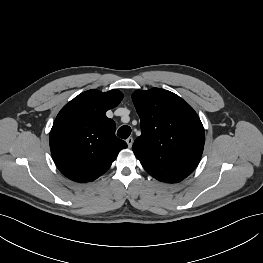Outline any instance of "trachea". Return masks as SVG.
<instances>
[{"instance_id": "1", "label": "trachea", "mask_w": 263, "mask_h": 263, "mask_svg": "<svg viewBox=\"0 0 263 263\" xmlns=\"http://www.w3.org/2000/svg\"><path fill=\"white\" fill-rule=\"evenodd\" d=\"M131 134V128L129 126H122L117 131V135L122 139H127Z\"/></svg>"}]
</instances>
